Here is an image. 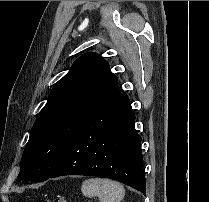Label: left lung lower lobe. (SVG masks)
Wrapping results in <instances>:
<instances>
[{
	"label": "left lung lower lobe",
	"instance_id": "left-lung-lower-lobe-1",
	"mask_svg": "<svg viewBox=\"0 0 209 202\" xmlns=\"http://www.w3.org/2000/svg\"><path fill=\"white\" fill-rule=\"evenodd\" d=\"M134 122L128 96L114 98L83 123L49 178L92 175L117 180L145 194L141 136Z\"/></svg>",
	"mask_w": 209,
	"mask_h": 202
}]
</instances>
